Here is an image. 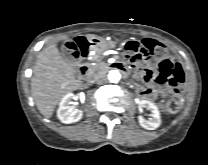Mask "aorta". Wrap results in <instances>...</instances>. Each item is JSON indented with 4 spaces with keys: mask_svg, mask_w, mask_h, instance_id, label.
Segmentation results:
<instances>
[{
    "mask_svg": "<svg viewBox=\"0 0 208 165\" xmlns=\"http://www.w3.org/2000/svg\"><path fill=\"white\" fill-rule=\"evenodd\" d=\"M120 78H121V74L119 73L118 70H111L108 74V79L112 83L119 82Z\"/></svg>",
    "mask_w": 208,
    "mask_h": 165,
    "instance_id": "obj_1",
    "label": "aorta"
}]
</instances>
